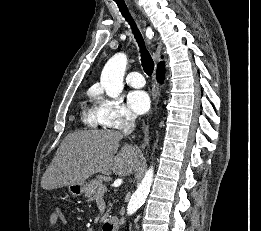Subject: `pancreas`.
Here are the masks:
<instances>
[{
	"label": "pancreas",
	"mask_w": 261,
	"mask_h": 231,
	"mask_svg": "<svg viewBox=\"0 0 261 231\" xmlns=\"http://www.w3.org/2000/svg\"><path fill=\"white\" fill-rule=\"evenodd\" d=\"M104 178L99 176L89 182L85 187V196L90 200H93L98 194H103L104 192L100 191L101 187H106L104 185ZM109 215V210L104 214L101 221H104Z\"/></svg>",
	"instance_id": "1"
}]
</instances>
